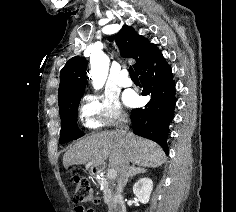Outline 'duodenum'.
Segmentation results:
<instances>
[{
  "instance_id": "duodenum-1",
  "label": "duodenum",
  "mask_w": 236,
  "mask_h": 212,
  "mask_svg": "<svg viewBox=\"0 0 236 212\" xmlns=\"http://www.w3.org/2000/svg\"><path fill=\"white\" fill-rule=\"evenodd\" d=\"M99 172V170L95 171L96 174ZM110 212H126V204L121 195H117L112 201Z\"/></svg>"
}]
</instances>
